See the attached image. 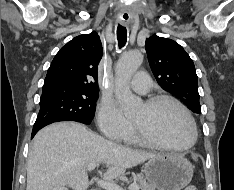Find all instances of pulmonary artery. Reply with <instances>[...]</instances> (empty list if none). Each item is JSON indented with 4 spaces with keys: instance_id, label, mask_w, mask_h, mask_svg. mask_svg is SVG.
Listing matches in <instances>:
<instances>
[{
    "instance_id": "1",
    "label": "pulmonary artery",
    "mask_w": 234,
    "mask_h": 190,
    "mask_svg": "<svg viewBox=\"0 0 234 190\" xmlns=\"http://www.w3.org/2000/svg\"><path fill=\"white\" fill-rule=\"evenodd\" d=\"M133 90L140 94H147L151 88V80L146 72L140 71L130 82Z\"/></svg>"
}]
</instances>
